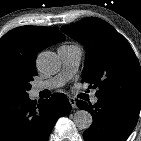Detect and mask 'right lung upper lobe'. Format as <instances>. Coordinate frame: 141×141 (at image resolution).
I'll return each mask as SVG.
<instances>
[{"mask_svg":"<svg viewBox=\"0 0 141 141\" xmlns=\"http://www.w3.org/2000/svg\"><path fill=\"white\" fill-rule=\"evenodd\" d=\"M64 40L59 30L50 27L15 28L0 39V67L23 66L36 70L38 52Z\"/></svg>","mask_w":141,"mask_h":141,"instance_id":"1","label":"right lung upper lobe"}]
</instances>
